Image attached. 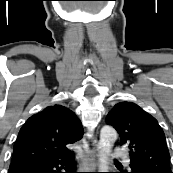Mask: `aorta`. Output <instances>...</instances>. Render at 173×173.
Returning a JSON list of instances; mask_svg holds the SVG:
<instances>
[{"mask_svg": "<svg viewBox=\"0 0 173 173\" xmlns=\"http://www.w3.org/2000/svg\"><path fill=\"white\" fill-rule=\"evenodd\" d=\"M116 139L117 132L113 127H102L98 144L99 172H108L109 156Z\"/></svg>", "mask_w": 173, "mask_h": 173, "instance_id": "obj_1", "label": "aorta"}]
</instances>
